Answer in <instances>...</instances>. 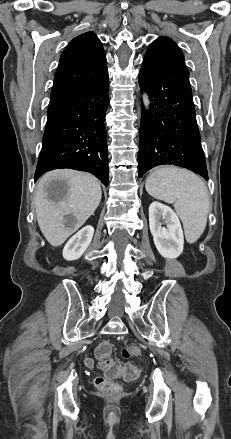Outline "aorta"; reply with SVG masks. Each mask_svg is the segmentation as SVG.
Masks as SVG:
<instances>
[{"mask_svg": "<svg viewBox=\"0 0 231 439\" xmlns=\"http://www.w3.org/2000/svg\"><path fill=\"white\" fill-rule=\"evenodd\" d=\"M143 104L146 110H149L150 107V100L146 93H143L142 95Z\"/></svg>", "mask_w": 231, "mask_h": 439, "instance_id": "obj_1", "label": "aorta"}]
</instances>
